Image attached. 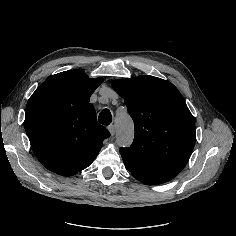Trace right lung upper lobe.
Instances as JSON below:
<instances>
[{"label": "right lung upper lobe", "instance_id": "obj_1", "mask_svg": "<svg viewBox=\"0 0 236 236\" xmlns=\"http://www.w3.org/2000/svg\"><path fill=\"white\" fill-rule=\"evenodd\" d=\"M102 81L69 70L49 77L30 97L25 130L33 152L48 170L64 176L82 171L110 136L89 103Z\"/></svg>", "mask_w": 236, "mask_h": 236}]
</instances>
